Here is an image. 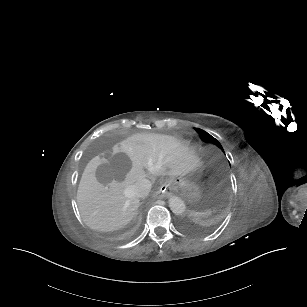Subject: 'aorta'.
<instances>
[{"label": "aorta", "mask_w": 307, "mask_h": 307, "mask_svg": "<svg viewBox=\"0 0 307 307\" xmlns=\"http://www.w3.org/2000/svg\"><path fill=\"white\" fill-rule=\"evenodd\" d=\"M169 206L172 210V212L176 215L182 214L185 211V204L182 199L179 197H172L169 200Z\"/></svg>", "instance_id": "aorta-1"}]
</instances>
